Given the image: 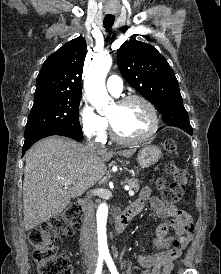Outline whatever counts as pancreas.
<instances>
[{
    "label": "pancreas",
    "instance_id": "pancreas-1",
    "mask_svg": "<svg viewBox=\"0 0 221 274\" xmlns=\"http://www.w3.org/2000/svg\"><path fill=\"white\" fill-rule=\"evenodd\" d=\"M135 192H138L140 189V182L138 179H126L125 181Z\"/></svg>",
    "mask_w": 221,
    "mask_h": 274
}]
</instances>
